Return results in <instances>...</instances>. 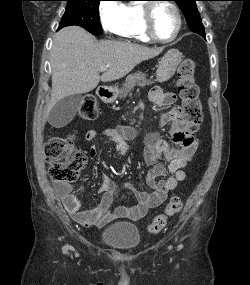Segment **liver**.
Returning <instances> with one entry per match:
<instances>
[{
    "instance_id": "liver-1",
    "label": "liver",
    "mask_w": 250,
    "mask_h": 285,
    "mask_svg": "<svg viewBox=\"0 0 250 285\" xmlns=\"http://www.w3.org/2000/svg\"><path fill=\"white\" fill-rule=\"evenodd\" d=\"M162 50L124 41L97 42L93 35L78 26L61 29L54 36L50 52L52 90L45 117L61 99L88 93L100 80L120 79L142 61L158 56ZM107 65L109 67L100 77L101 68Z\"/></svg>"
}]
</instances>
